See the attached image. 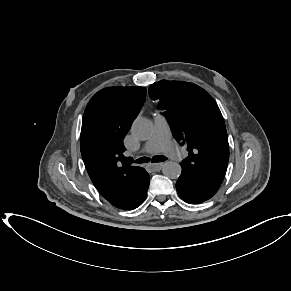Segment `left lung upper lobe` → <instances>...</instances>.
<instances>
[{
  "mask_svg": "<svg viewBox=\"0 0 291 291\" xmlns=\"http://www.w3.org/2000/svg\"><path fill=\"white\" fill-rule=\"evenodd\" d=\"M149 96L159 101L174 138L188 148L182 170L220 186L227 170L229 144L215 100L196 84L167 80L150 85Z\"/></svg>",
  "mask_w": 291,
  "mask_h": 291,
  "instance_id": "1",
  "label": "left lung upper lobe"
}]
</instances>
